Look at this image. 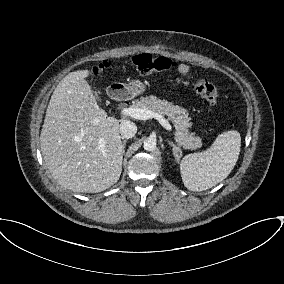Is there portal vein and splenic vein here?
<instances>
[{"label": "portal vein and splenic vein", "mask_w": 284, "mask_h": 284, "mask_svg": "<svg viewBox=\"0 0 284 284\" xmlns=\"http://www.w3.org/2000/svg\"><path fill=\"white\" fill-rule=\"evenodd\" d=\"M121 114L125 115V116H130V117L138 119V120H148V119L154 118L166 130H168V131L172 130V127L169 124L168 120L165 119L161 114L147 110L145 108H135V107L123 108L121 110ZM100 140L102 141V139H100Z\"/></svg>", "instance_id": "18ae733b"}]
</instances>
